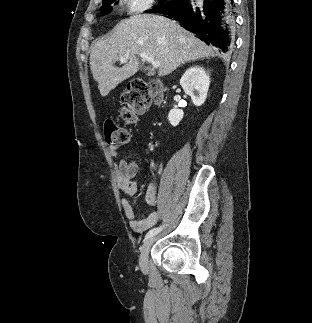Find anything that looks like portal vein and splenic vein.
I'll return each mask as SVG.
<instances>
[{
	"label": "portal vein and splenic vein",
	"instance_id": "portal-vein-and-splenic-vein-1",
	"mask_svg": "<svg viewBox=\"0 0 312 323\" xmlns=\"http://www.w3.org/2000/svg\"><path fill=\"white\" fill-rule=\"evenodd\" d=\"M140 58H142V60H146V62H150V64H152L153 68H159V66H160L159 62H152L151 58H149V56H147L146 52H141ZM127 60H129V56H124V58H120L119 62H121V64H125V62H127Z\"/></svg>",
	"mask_w": 312,
	"mask_h": 323
}]
</instances>
